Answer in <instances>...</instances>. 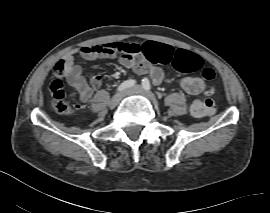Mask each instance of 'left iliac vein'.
Wrapping results in <instances>:
<instances>
[{
	"mask_svg": "<svg viewBox=\"0 0 270 213\" xmlns=\"http://www.w3.org/2000/svg\"><path fill=\"white\" fill-rule=\"evenodd\" d=\"M124 95H142L146 97L150 102L153 104H157L156 99L153 97V95L147 91H145L141 86L136 85L132 88H129L124 91Z\"/></svg>",
	"mask_w": 270,
	"mask_h": 213,
	"instance_id": "1",
	"label": "left iliac vein"
}]
</instances>
